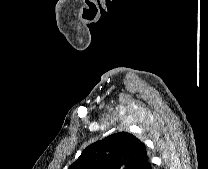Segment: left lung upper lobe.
I'll return each instance as SVG.
<instances>
[{
	"instance_id": "5c2ea615",
	"label": "left lung upper lobe",
	"mask_w": 208,
	"mask_h": 169,
	"mask_svg": "<svg viewBox=\"0 0 208 169\" xmlns=\"http://www.w3.org/2000/svg\"><path fill=\"white\" fill-rule=\"evenodd\" d=\"M148 160L139 139L119 132L86 147L68 169H144Z\"/></svg>"
}]
</instances>
